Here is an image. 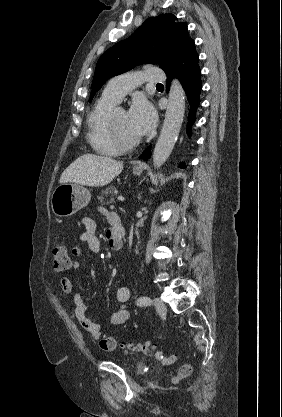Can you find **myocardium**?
<instances>
[{
  "mask_svg": "<svg viewBox=\"0 0 282 417\" xmlns=\"http://www.w3.org/2000/svg\"><path fill=\"white\" fill-rule=\"evenodd\" d=\"M119 110H123V109L120 107L113 108L107 118V122L110 126V135H111L112 141L120 149L133 148L140 142V138L137 137L132 140H126L120 135L118 128L116 126V122H115L116 114Z\"/></svg>",
  "mask_w": 282,
  "mask_h": 417,
  "instance_id": "myocardium-1",
  "label": "myocardium"
}]
</instances>
